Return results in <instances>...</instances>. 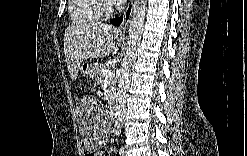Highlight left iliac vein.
Here are the masks:
<instances>
[{
	"label": "left iliac vein",
	"instance_id": "4c4485c4",
	"mask_svg": "<svg viewBox=\"0 0 247 156\" xmlns=\"http://www.w3.org/2000/svg\"><path fill=\"white\" fill-rule=\"evenodd\" d=\"M121 154H122V156H125V155H126L125 147H122V148H121Z\"/></svg>",
	"mask_w": 247,
	"mask_h": 156
}]
</instances>
